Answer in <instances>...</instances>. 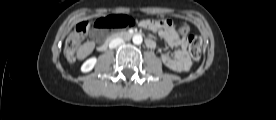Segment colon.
<instances>
[{
    "instance_id": "colon-1",
    "label": "colon",
    "mask_w": 276,
    "mask_h": 120,
    "mask_svg": "<svg viewBox=\"0 0 276 120\" xmlns=\"http://www.w3.org/2000/svg\"><path fill=\"white\" fill-rule=\"evenodd\" d=\"M90 21H82L75 26L74 31L68 36L64 53L69 61L75 60L80 40L86 33L90 26ZM142 19L138 15L128 16L120 13H114L110 17L100 18L95 22V27L98 31V38L103 37V31L112 28H124V29H135L140 27ZM161 24L164 26L172 25V22L167 19H162ZM179 33L186 38L188 42V49L190 55L194 59H199L202 53L203 41L200 37L189 35V26L186 23H181L178 27Z\"/></svg>"
}]
</instances>
